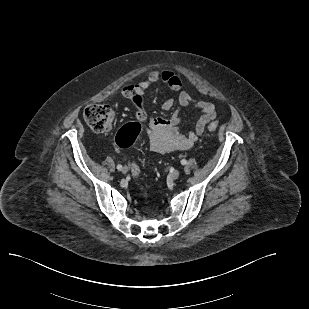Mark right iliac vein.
<instances>
[{"label": "right iliac vein", "instance_id": "63e3f726", "mask_svg": "<svg viewBox=\"0 0 309 309\" xmlns=\"http://www.w3.org/2000/svg\"><path fill=\"white\" fill-rule=\"evenodd\" d=\"M122 173L126 174L128 172V168L125 166L121 169Z\"/></svg>", "mask_w": 309, "mask_h": 309}]
</instances>
